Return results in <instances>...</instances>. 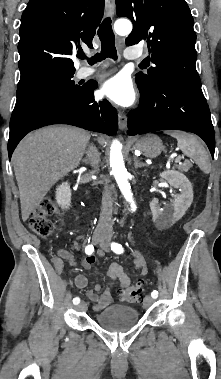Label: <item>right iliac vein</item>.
Instances as JSON below:
<instances>
[{"mask_svg":"<svg viewBox=\"0 0 221 379\" xmlns=\"http://www.w3.org/2000/svg\"><path fill=\"white\" fill-rule=\"evenodd\" d=\"M93 242L95 244H101L104 242V239L103 237H101L100 235H94L93 236ZM77 309L80 310V311H85L87 309V305L85 302H81L78 306H77Z\"/></svg>","mask_w":221,"mask_h":379,"instance_id":"1","label":"right iliac vein"}]
</instances>
